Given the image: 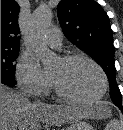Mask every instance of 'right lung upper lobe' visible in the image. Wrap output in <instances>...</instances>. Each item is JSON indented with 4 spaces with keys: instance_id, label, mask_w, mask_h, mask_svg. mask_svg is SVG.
I'll return each mask as SVG.
<instances>
[{
    "instance_id": "obj_1",
    "label": "right lung upper lobe",
    "mask_w": 123,
    "mask_h": 130,
    "mask_svg": "<svg viewBox=\"0 0 123 130\" xmlns=\"http://www.w3.org/2000/svg\"><path fill=\"white\" fill-rule=\"evenodd\" d=\"M20 6L13 0H1V48L19 49L18 13Z\"/></svg>"
}]
</instances>
